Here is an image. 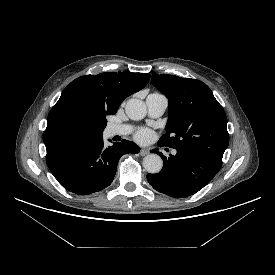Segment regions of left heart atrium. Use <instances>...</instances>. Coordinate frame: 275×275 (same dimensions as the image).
<instances>
[{
  "instance_id": "left-heart-atrium-1",
  "label": "left heart atrium",
  "mask_w": 275,
  "mask_h": 275,
  "mask_svg": "<svg viewBox=\"0 0 275 275\" xmlns=\"http://www.w3.org/2000/svg\"><path fill=\"white\" fill-rule=\"evenodd\" d=\"M151 131L148 129H142L137 132L136 139L140 142H147L151 138Z\"/></svg>"
}]
</instances>
